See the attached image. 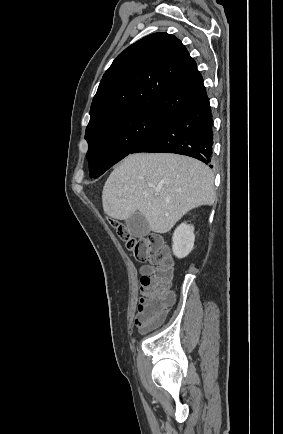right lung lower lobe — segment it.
I'll return each instance as SVG.
<instances>
[{
	"mask_svg": "<svg viewBox=\"0 0 283 434\" xmlns=\"http://www.w3.org/2000/svg\"><path fill=\"white\" fill-rule=\"evenodd\" d=\"M212 146L213 118L209 98L206 96L171 117L131 153H176L209 164L212 159Z\"/></svg>",
	"mask_w": 283,
	"mask_h": 434,
	"instance_id": "obj_1",
	"label": "right lung lower lobe"
}]
</instances>
